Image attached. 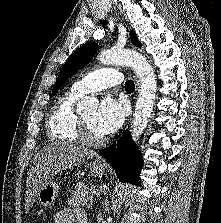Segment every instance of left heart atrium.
<instances>
[{
	"label": "left heart atrium",
	"mask_w": 221,
	"mask_h": 223,
	"mask_svg": "<svg viewBox=\"0 0 221 223\" xmlns=\"http://www.w3.org/2000/svg\"><path fill=\"white\" fill-rule=\"evenodd\" d=\"M126 105L124 102L107 96L101 102L97 111L96 127L102 135H109L117 131L124 122Z\"/></svg>",
	"instance_id": "left-heart-atrium-1"
}]
</instances>
